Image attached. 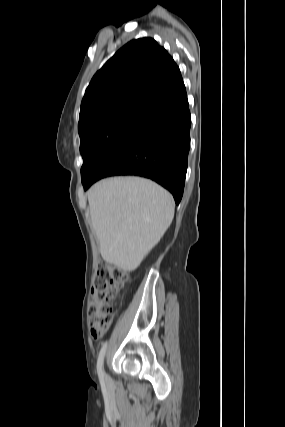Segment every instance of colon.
<instances>
[{
  "instance_id": "5ec220e1",
  "label": "colon",
  "mask_w": 285,
  "mask_h": 427,
  "mask_svg": "<svg viewBox=\"0 0 285 427\" xmlns=\"http://www.w3.org/2000/svg\"><path fill=\"white\" fill-rule=\"evenodd\" d=\"M127 280V273L117 267L108 264L97 267L91 291L92 305L89 309L90 331L94 338L102 337L109 329L113 316L111 301Z\"/></svg>"
}]
</instances>
